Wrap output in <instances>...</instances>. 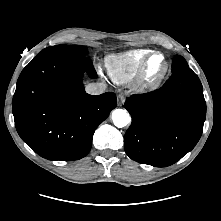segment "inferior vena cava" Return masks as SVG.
Wrapping results in <instances>:
<instances>
[{"label": "inferior vena cava", "instance_id": "1", "mask_svg": "<svg viewBox=\"0 0 221 221\" xmlns=\"http://www.w3.org/2000/svg\"><path fill=\"white\" fill-rule=\"evenodd\" d=\"M86 92L90 95H100L105 92L106 84L103 82L100 83H90L86 86Z\"/></svg>", "mask_w": 221, "mask_h": 221}]
</instances>
